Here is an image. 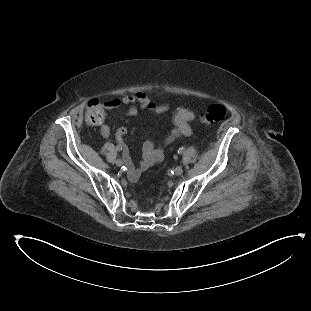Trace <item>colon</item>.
I'll return each mask as SVG.
<instances>
[{"label":"colon","mask_w":311,"mask_h":311,"mask_svg":"<svg viewBox=\"0 0 311 311\" xmlns=\"http://www.w3.org/2000/svg\"><path fill=\"white\" fill-rule=\"evenodd\" d=\"M108 109L106 104L92 101L88 104L86 110V121L93 125H103L105 122V111ZM227 114V109L222 105H212L201 111L200 119L203 124H215L222 120Z\"/></svg>","instance_id":"5ec220e1"}]
</instances>
